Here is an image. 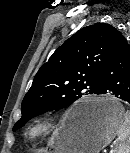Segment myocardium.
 <instances>
[{
	"mask_svg": "<svg viewBox=\"0 0 130 153\" xmlns=\"http://www.w3.org/2000/svg\"><path fill=\"white\" fill-rule=\"evenodd\" d=\"M56 128V121L48 116L35 119L27 128L25 136L29 141H38Z\"/></svg>",
	"mask_w": 130,
	"mask_h": 153,
	"instance_id": "myocardium-1",
	"label": "myocardium"
}]
</instances>
